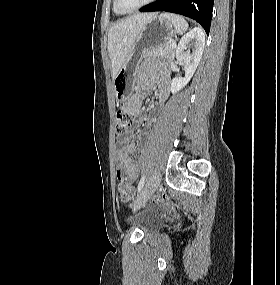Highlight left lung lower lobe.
Wrapping results in <instances>:
<instances>
[{
	"label": "left lung lower lobe",
	"mask_w": 280,
	"mask_h": 285,
	"mask_svg": "<svg viewBox=\"0 0 280 285\" xmlns=\"http://www.w3.org/2000/svg\"><path fill=\"white\" fill-rule=\"evenodd\" d=\"M214 0H156L141 12L166 11L196 20L209 34Z\"/></svg>",
	"instance_id": "left-lung-lower-lobe-1"
}]
</instances>
